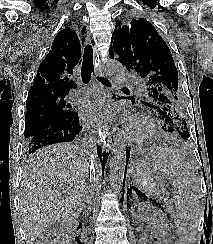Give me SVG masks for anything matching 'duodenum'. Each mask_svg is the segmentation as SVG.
Instances as JSON below:
<instances>
[{"label": "duodenum", "mask_w": 213, "mask_h": 244, "mask_svg": "<svg viewBox=\"0 0 213 244\" xmlns=\"http://www.w3.org/2000/svg\"><path fill=\"white\" fill-rule=\"evenodd\" d=\"M81 233H82V225L80 222H77L74 225V235H72L76 244H81V241H80V238L82 236Z\"/></svg>", "instance_id": "410a0bca"}]
</instances>
